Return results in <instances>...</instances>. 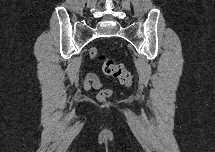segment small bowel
<instances>
[{"label":"small bowel","mask_w":215,"mask_h":152,"mask_svg":"<svg viewBox=\"0 0 215 152\" xmlns=\"http://www.w3.org/2000/svg\"><path fill=\"white\" fill-rule=\"evenodd\" d=\"M83 86L87 90L91 88L100 89L101 87H103V83L95 74L88 73L83 80Z\"/></svg>","instance_id":"obj_1"}]
</instances>
